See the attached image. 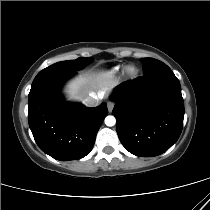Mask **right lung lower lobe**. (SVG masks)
I'll list each match as a JSON object with an SVG mask.
<instances>
[{
    "label": "right lung lower lobe",
    "mask_w": 210,
    "mask_h": 210,
    "mask_svg": "<svg viewBox=\"0 0 210 210\" xmlns=\"http://www.w3.org/2000/svg\"><path fill=\"white\" fill-rule=\"evenodd\" d=\"M74 73L56 69L40 71L28 99V121L37 145L61 161L77 160L89 154L108 113L106 103L89 108L63 100L60 88Z\"/></svg>",
    "instance_id": "98d812e1"
}]
</instances>
